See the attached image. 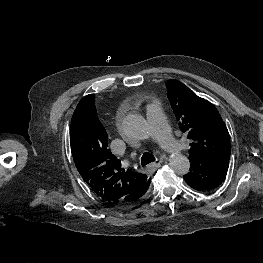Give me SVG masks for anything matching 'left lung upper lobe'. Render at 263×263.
Segmentation results:
<instances>
[{
	"mask_svg": "<svg viewBox=\"0 0 263 263\" xmlns=\"http://www.w3.org/2000/svg\"><path fill=\"white\" fill-rule=\"evenodd\" d=\"M167 96L182 132L191 140L189 159L211 164L230 159V137L218 110L178 80L166 82Z\"/></svg>",
	"mask_w": 263,
	"mask_h": 263,
	"instance_id": "1",
	"label": "left lung upper lobe"
}]
</instances>
